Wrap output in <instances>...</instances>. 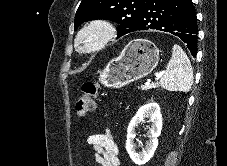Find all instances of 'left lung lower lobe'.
<instances>
[{
  "instance_id": "1",
  "label": "left lung lower lobe",
  "mask_w": 227,
  "mask_h": 166,
  "mask_svg": "<svg viewBox=\"0 0 227 166\" xmlns=\"http://www.w3.org/2000/svg\"><path fill=\"white\" fill-rule=\"evenodd\" d=\"M155 29L169 32L197 53V19L192 0H147L134 31Z\"/></svg>"
}]
</instances>
